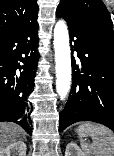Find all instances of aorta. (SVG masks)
<instances>
[{
    "label": "aorta",
    "mask_w": 114,
    "mask_h": 156,
    "mask_svg": "<svg viewBox=\"0 0 114 156\" xmlns=\"http://www.w3.org/2000/svg\"><path fill=\"white\" fill-rule=\"evenodd\" d=\"M54 49L56 62V90L61 100L68 95L71 86V52L66 23L59 20L54 27Z\"/></svg>",
    "instance_id": "762f6f07"
}]
</instances>
